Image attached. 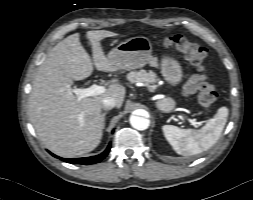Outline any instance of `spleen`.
Segmentation results:
<instances>
[{
  "mask_svg": "<svg viewBox=\"0 0 253 200\" xmlns=\"http://www.w3.org/2000/svg\"><path fill=\"white\" fill-rule=\"evenodd\" d=\"M227 117L228 109L221 107L201 129H181L173 125H164L162 130L176 153L184 156L194 155L208 150L218 141Z\"/></svg>",
  "mask_w": 253,
  "mask_h": 200,
  "instance_id": "spleen-1",
  "label": "spleen"
}]
</instances>
